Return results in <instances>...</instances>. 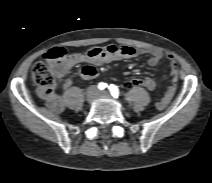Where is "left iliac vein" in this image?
I'll list each match as a JSON object with an SVG mask.
<instances>
[{"mask_svg": "<svg viewBox=\"0 0 212 183\" xmlns=\"http://www.w3.org/2000/svg\"><path fill=\"white\" fill-rule=\"evenodd\" d=\"M100 95H102V96H108L107 92H105V91L101 92Z\"/></svg>", "mask_w": 212, "mask_h": 183, "instance_id": "1", "label": "left iliac vein"}]
</instances>
